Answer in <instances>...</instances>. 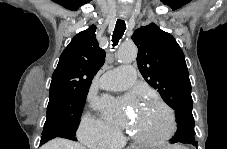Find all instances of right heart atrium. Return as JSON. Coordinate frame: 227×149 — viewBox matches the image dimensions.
Segmentation results:
<instances>
[{
    "mask_svg": "<svg viewBox=\"0 0 227 149\" xmlns=\"http://www.w3.org/2000/svg\"><path fill=\"white\" fill-rule=\"evenodd\" d=\"M78 136L87 146L107 147L116 144L119 133L103 121L86 114L81 120Z\"/></svg>",
    "mask_w": 227,
    "mask_h": 149,
    "instance_id": "1",
    "label": "right heart atrium"
}]
</instances>
